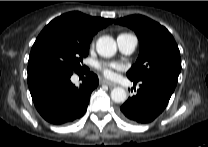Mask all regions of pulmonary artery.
Masks as SVG:
<instances>
[{
    "mask_svg": "<svg viewBox=\"0 0 208 147\" xmlns=\"http://www.w3.org/2000/svg\"><path fill=\"white\" fill-rule=\"evenodd\" d=\"M137 43H138L137 38L132 34L125 33V34H120L117 37L118 47L120 51L126 55H130L135 51Z\"/></svg>",
    "mask_w": 208,
    "mask_h": 147,
    "instance_id": "1",
    "label": "pulmonary artery"
}]
</instances>
